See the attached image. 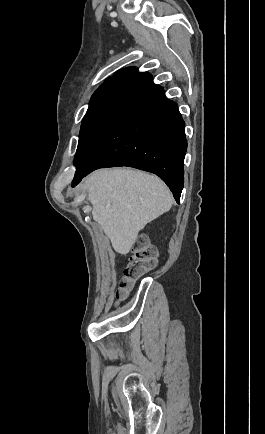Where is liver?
<instances>
[{"label":"liver","mask_w":265,"mask_h":434,"mask_svg":"<svg viewBox=\"0 0 265 434\" xmlns=\"http://www.w3.org/2000/svg\"><path fill=\"white\" fill-rule=\"evenodd\" d=\"M94 222L118 254L130 252L140 230L169 212L173 198L164 182L136 170H97L85 178Z\"/></svg>","instance_id":"1"}]
</instances>
